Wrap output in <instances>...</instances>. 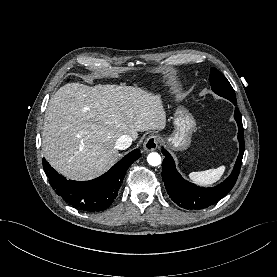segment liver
<instances>
[{"mask_svg": "<svg viewBox=\"0 0 277 277\" xmlns=\"http://www.w3.org/2000/svg\"><path fill=\"white\" fill-rule=\"evenodd\" d=\"M166 112L159 95L122 85L90 87L68 83L48 104L42 149L59 173L73 180H90L117 161V139L137 132L163 130Z\"/></svg>", "mask_w": 277, "mask_h": 277, "instance_id": "1", "label": "liver"}]
</instances>
